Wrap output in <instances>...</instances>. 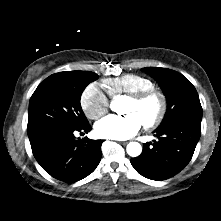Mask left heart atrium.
<instances>
[{"instance_id":"1","label":"left heart atrium","mask_w":221,"mask_h":221,"mask_svg":"<svg viewBox=\"0 0 221 221\" xmlns=\"http://www.w3.org/2000/svg\"><path fill=\"white\" fill-rule=\"evenodd\" d=\"M142 124V120L135 113L108 115L96 123L95 131L101 138L124 140L135 135Z\"/></svg>"}]
</instances>
